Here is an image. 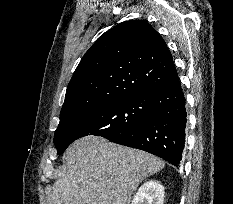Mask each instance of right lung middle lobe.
I'll list each match as a JSON object with an SVG mask.
<instances>
[{"label":"right lung middle lobe","mask_w":233,"mask_h":204,"mask_svg":"<svg viewBox=\"0 0 233 204\" xmlns=\"http://www.w3.org/2000/svg\"><path fill=\"white\" fill-rule=\"evenodd\" d=\"M152 116L150 95L113 101L67 121L55 131L54 144L62 154L78 138L96 135L110 140L143 125Z\"/></svg>","instance_id":"right-lung-middle-lobe-1"}]
</instances>
